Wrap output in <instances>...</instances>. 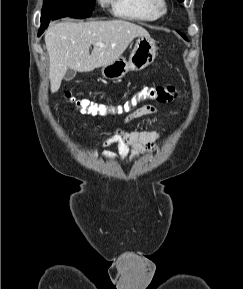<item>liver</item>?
Returning a JSON list of instances; mask_svg holds the SVG:
<instances>
[{
    "label": "liver",
    "instance_id": "1",
    "mask_svg": "<svg viewBox=\"0 0 243 289\" xmlns=\"http://www.w3.org/2000/svg\"><path fill=\"white\" fill-rule=\"evenodd\" d=\"M148 35L143 27L125 20L60 22L45 33L49 54L51 92L59 90L67 69L90 72L118 59L132 42ZM102 43L104 46H97ZM93 45L90 54L89 48Z\"/></svg>",
    "mask_w": 243,
    "mask_h": 289
}]
</instances>
